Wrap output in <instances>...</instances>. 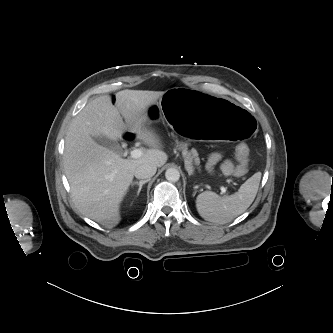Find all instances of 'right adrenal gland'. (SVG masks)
<instances>
[{
    "label": "right adrenal gland",
    "mask_w": 333,
    "mask_h": 333,
    "mask_svg": "<svg viewBox=\"0 0 333 333\" xmlns=\"http://www.w3.org/2000/svg\"><path fill=\"white\" fill-rule=\"evenodd\" d=\"M150 181V179H147V180H141V181H135V182H132L131 183V186H134V185H138L139 186V188H138V191H137V196L139 195V193H140V191H141V189H142V186L145 184V183H147V182H149Z\"/></svg>",
    "instance_id": "1"
}]
</instances>
